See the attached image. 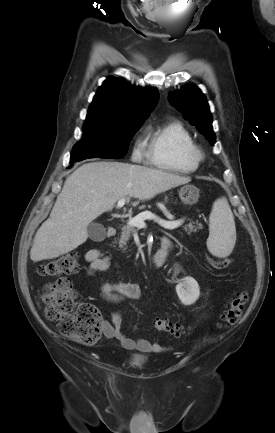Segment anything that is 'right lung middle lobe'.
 <instances>
[{"label": "right lung middle lobe", "mask_w": 275, "mask_h": 433, "mask_svg": "<svg viewBox=\"0 0 275 433\" xmlns=\"http://www.w3.org/2000/svg\"><path fill=\"white\" fill-rule=\"evenodd\" d=\"M141 122L103 124L85 122L84 137L72 149L70 166L87 158H122L126 155L131 137Z\"/></svg>", "instance_id": "right-lung-middle-lobe-1"}]
</instances>
